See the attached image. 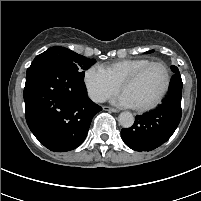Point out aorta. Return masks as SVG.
I'll return each mask as SVG.
<instances>
[{
	"label": "aorta",
	"instance_id": "aorta-1",
	"mask_svg": "<svg viewBox=\"0 0 201 201\" xmlns=\"http://www.w3.org/2000/svg\"><path fill=\"white\" fill-rule=\"evenodd\" d=\"M119 124L123 128H130L134 124V117L130 112H122L118 117Z\"/></svg>",
	"mask_w": 201,
	"mask_h": 201
}]
</instances>
